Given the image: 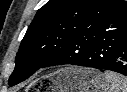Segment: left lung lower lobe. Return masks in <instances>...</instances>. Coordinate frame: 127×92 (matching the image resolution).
<instances>
[{"label": "left lung lower lobe", "mask_w": 127, "mask_h": 92, "mask_svg": "<svg viewBox=\"0 0 127 92\" xmlns=\"http://www.w3.org/2000/svg\"><path fill=\"white\" fill-rule=\"evenodd\" d=\"M63 64L106 69L127 76L126 3L77 33L43 67Z\"/></svg>", "instance_id": "left-lung-lower-lobe-1"}]
</instances>
